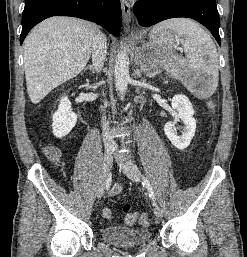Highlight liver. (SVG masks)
Wrapping results in <instances>:
<instances>
[{
    "label": "liver",
    "mask_w": 247,
    "mask_h": 257,
    "mask_svg": "<svg viewBox=\"0 0 247 257\" xmlns=\"http://www.w3.org/2000/svg\"><path fill=\"white\" fill-rule=\"evenodd\" d=\"M95 24L54 16L35 26L24 41L26 86L32 103H39L87 64L98 34Z\"/></svg>",
    "instance_id": "liver-1"
}]
</instances>
